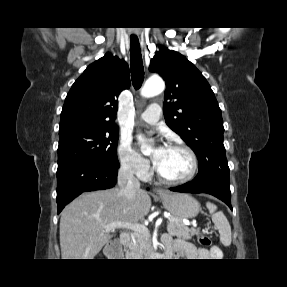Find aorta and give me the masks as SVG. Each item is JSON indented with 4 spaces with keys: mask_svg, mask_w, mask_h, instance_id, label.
Masks as SVG:
<instances>
[{
    "mask_svg": "<svg viewBox=\"0 0 287 287\" xmlns=\"http://www.w3.org/2000/svg\"><path fill=\"white\" fill-rule=\"evenodd\" d=\"M164 88H165V85L162 79L150 78L146 81L143 88L141 89V95L146 98L153 97L163 92ZM150 151H151V148L147 147L144 150V153H148Z\"/></svg>",
    "mask_w": 287,
    "mask_h": 287,
    "instance_id": "762f6f07",
    "label": "aorta"
}]
</instances>
